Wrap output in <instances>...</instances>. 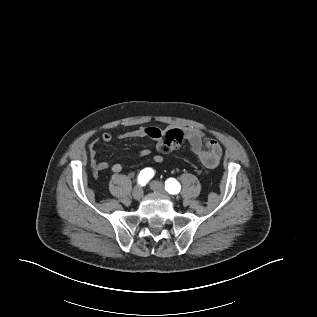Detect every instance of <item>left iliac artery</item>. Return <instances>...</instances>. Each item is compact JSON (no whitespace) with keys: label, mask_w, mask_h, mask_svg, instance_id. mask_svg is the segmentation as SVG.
Masks as SVG:
<instances>
[{"label":"left iliac artery","mask_w":317,"mask_h":317,"mask_svg":"<svg viewBox=\"0 0 317 317\" xmlns=\"http://www.w3.org/2000/svg\"><path fill=\"white\" fill-rule=\"evenodd\" d=\"M181 185L179 182L174 178H169L165 182V190L168 191L170 194H177L180 192Z\"/></svg>","instance_id":"44dca946"}]
</instances>
